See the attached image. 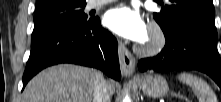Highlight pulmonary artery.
<instances>
[{
    "label": "pulmonary artery",
    "mask_w": 221,
    "mask_h": 102,
    "mask_svg": "<svg viewBox=\"0 0 221 102\" xmlns=\"http://www.w3.org/2000/svg\"><path fill=\"white\" fill-rule=\"evenodd\" d=\"M114 1L115 0H90L89 6L91 8H95V7H98V6H101L110 2H114Z\"/></svg>",
    "instance_id": "1"
}]
</instances>
